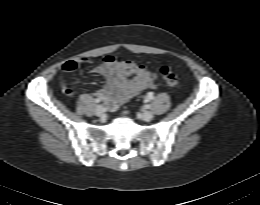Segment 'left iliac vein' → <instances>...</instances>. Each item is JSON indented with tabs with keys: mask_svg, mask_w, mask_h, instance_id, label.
I'll return each instance as SVG.
<instances>
[{
	"mask_svg": "<svg viewBox=\"0 0 260 205\" xmlns=\"http://www.w3.org/2000/svg\"><path fill=\"white\" fill-rule=\"evenodd\" d=\"M152 118H153V114H152V112H150V111H144L143 113H142V119L144 120V121H151L152 120Z\"/></svg>",
	"mask_w": 260,
	"mask_h": 205,
	"instance_id": "4c4485c4",
	"label": "left iliac vein"
}]
</instances>
